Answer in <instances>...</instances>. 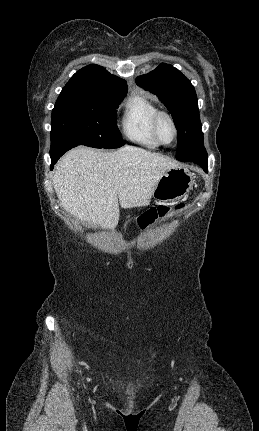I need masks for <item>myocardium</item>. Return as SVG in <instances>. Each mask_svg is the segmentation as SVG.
Here are the masks:
<instances>
[{
  "mask_svg": "<svg viewBox=\"0 0 259 431\" xmlns=\"http://www.w3.org/2000/svg\"><path fill=\"white\" fill-rule=\"evenodd\" d=\"M163 118H166L170 122V124L173 128V137H172V140L170 142H164L159 135V123H160L161 119H163ZM152 132H153V135H154L155 139L157 140V142L160 145L166 146V145L172 144L176 140V138L178 136V127H177V124H176L173 116L169 112L164 111V110H158L152 119Z\"/></svg>",
  "mask_w": 259,
  "mask_h": 431,
  "instance_id": "f54148a6",
  "label": "myocardium"
}]
</instances>
